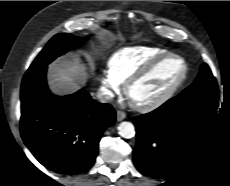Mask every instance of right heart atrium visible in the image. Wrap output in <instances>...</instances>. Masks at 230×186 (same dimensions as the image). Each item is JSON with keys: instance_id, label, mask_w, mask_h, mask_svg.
Segmentation results:
<instances>
[{"instance_id": "1", "label": "right heart atrium", "mask_w": 230, "mask_h": 186, "mask_svg": "<svg viewBox=\"0 0 230 186\" xmlns=\"http://www.w3.org/2000/svg\"><path fill=\"white\" fill-rule=\"evenodd\" d=\"M121 84L109 71H104L101 75V90L105 97H111L119 93Z\"/></svg>"}]
</instances>
